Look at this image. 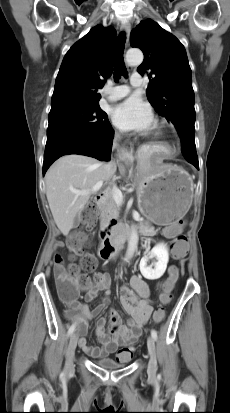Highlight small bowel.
Here are the masks:
<instances>
[{
  "mask_svg": "<svg viewBox=\"0 0 230 413\" xmlns=\"http://www.w3.org/2000/svg\"><path fill=\"white\" fill-rule=\"evenodd\" d=\"M180 228L177 225H168L164 229L166 237H174ZM96 282L86 294V301H94L100 293H104L102 301L90 311L87 304L74 301L66 316L69 321L75 324L78 336L79 347L90 357L99 359L116 353L117 360L126 362L130 356H126L124 349L129 344L135 342L141 335V329L150 319L153 308L149 302L150 288L148 284L139 276L131 278V288L123 287L120 293V303L123 309L130 315L128 325L122 324L118 313L114 310L109 312L110 327L106 331V320L99 317L96 322L95 334L101 347L88 345L85 335L88 330V323L93 317H97L108 305L110 295V281L106 274L96 273Z\"/></svg>",
  "mask_w": 230,
  "mask_h": 413,
  "instance_id": "1",
  "label": "small bowel"
}]
</instances>
